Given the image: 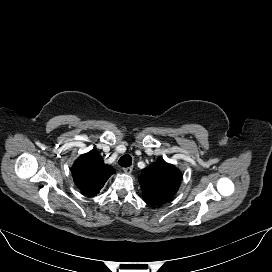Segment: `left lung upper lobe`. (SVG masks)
Instances as JSON below:
<instances>
[{
    "label": "left lung upper lobe",
    "mask_w": 272,
    "mask_h": 272,
    "mask_svg": "<svg viewBox=\"0 0 272 272\" xmlns=\"http://www.w3.org/2000/svg\"><path fill=\"white\" fill-rule=\"evenodd\" d=\"M180 181V171L165 161L153 163L139 176L143 198L149 205H160L170 200L176 194Z\"/></svg>",
    "instance_id": "obj_1"
}]
</instances>
